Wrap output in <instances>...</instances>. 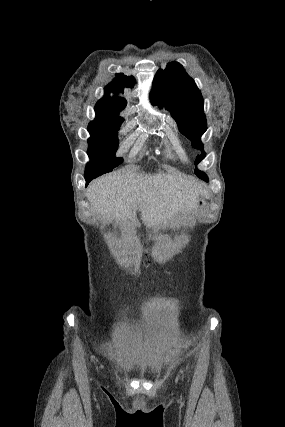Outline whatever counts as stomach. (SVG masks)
Returning a JSON list of instances; mask_svg holds the SVG:
<instances>
[{
	"label": "stomach",
	"mask_w": 285,
	"mask_h": 427,
	"mask_svg": "<svg viewBox=\"0 0 285 427\" xmlns=\"http://www.w3.org/2000/svg\"><path fill=\"white\" fill-rule=\"evenodd\" d=\"M205 206V201H204V199L202 198V197H200L199 199H198V202H197V208H203Z\"/></svg>",
	"instance_id": "0dacf381"
}]
</instances>
